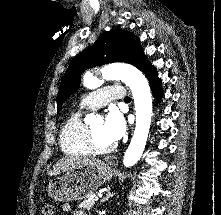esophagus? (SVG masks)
I'll list each match as a JSON object with an SVG mask.
<instances>
[{
	"instance_id": "1",
	"label": "esophagus",
	"mask_w": 221,
	"mask_h": 215,
	"mask_svg": "<svg viewBox=\"0 0 221 215\" xmlns=\"http://www.w3.org/2000/svg\"><path fill=\"white\" fill-rule=\"evenodd\" d=\"M106 162L112 166L116 165L118 160L115 156H109L106 158Z\"/></svg>"
}]
</instances>
